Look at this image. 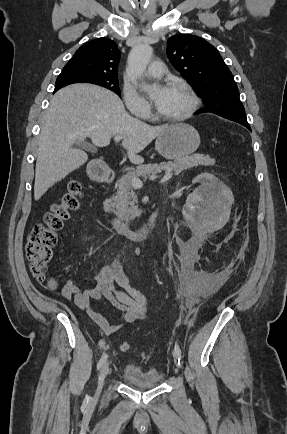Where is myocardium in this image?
<instances>
[{
    "mask_svg": "<svg viewBox=\"0 0 287 434\" xmlns=\"http://www.w3.org/2000/svg\"><path fill=\"white\" fill-rule=\"evenodd\" d=\"M170 85L171 87H177L183 90L188 95L190 101L189 106L185 112L177 116H165L160 112H157L156 115L159 119L165 122L180 123L190 118L197 111L200 100L194 89L187 82L182 80H173L170 82Z\"/></svg>",
    "mask_w": 287,
    "mask_h": 434,
    "instance_id": "f54148a6",
    "label": "myocardium"
}]
</instances>
